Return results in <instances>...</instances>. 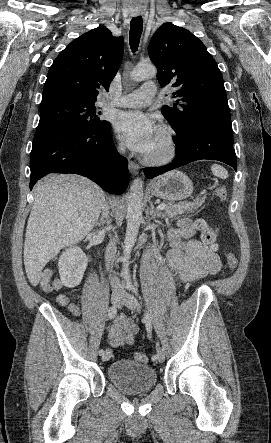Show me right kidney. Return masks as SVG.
<instances>
[{
  "label": "right kidney",
  "instance_id": "1",
  "mask_svg": "<svg viewBox=\"0 0 271 443\" xmlns=\"http://www.w3.org/2000/svg\"><path fill=\"white\" fill-rule=\"evenodd\" d=\"M87 263V255L77 245H71V247H67L65 251H62L58 259V269L63 285L65 287L79 285Z\"/></svg>",
  "mask_w": 271,
  "mask_h": 443
}]
</instances>
